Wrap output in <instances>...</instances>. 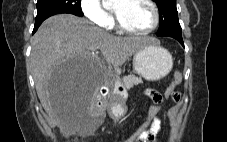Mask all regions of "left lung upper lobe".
Wrapping results in <instances>:
<instances>
[{
	"instance_id": "left-lung-upper-lobe-1",
	"label": "left lung upper lobe",
	"mask_w": 227,
	"mask_h": 142,
	"mask_svg": "<svg viewBox=\"0 0 227 142\" xmlns=\"http://www.w3.org/2000/svg\"><path fill=\"white\" fill-rule=\"evenodd\" d=\"M160 11V27L158 33H172L182 35L178 20L176 0H155Z\"/></svg>"
}]
</instances>
